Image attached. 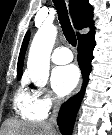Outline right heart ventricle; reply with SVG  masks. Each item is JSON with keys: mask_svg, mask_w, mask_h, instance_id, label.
<instances>
[{"mask_svg": "<svg viewBox=\"0 0 112 135\" xmlns=\"http://www.w3.org/2000/svg\"><path fill=\"white\" fill-rule=\"evenodd\" d=\"M14 109L21 118L29 121H41L47 114L38 106L35 93L31 92L24 84L15 93Z\"/></svg>", "mask_w": 112, "mask_h": 135, "instance_id": "right-heart-ventricle-1", "label": "right heart ventricle"}]
</instances>
